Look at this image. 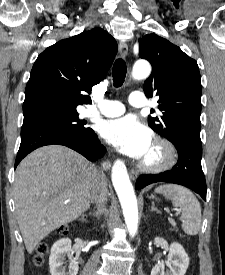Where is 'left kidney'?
<instances>
[{
    "label": "left kidney",
    "instance_id": "obj_1",
    "mask_svg": "<svg viewBox=\"0 0 225 275\" xmlns=\"http://www.w3.org/2000/svg\"><path fill=\"white\" fill-rule=\"evenodd\" d=\"M167 263L170 265L169 271L164 272V263L161 262L152 268L151 275H185L189 266V257L180 244L170 245Z\"/></svg>",
    "mask_w": 225,
    "mask_h": 275
}]
</instances>
